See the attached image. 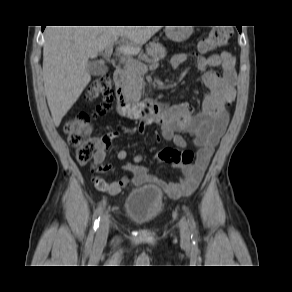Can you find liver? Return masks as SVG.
<instances>
[{"instance_id":"6515ba94","label":"liver","mask_w":292,"mask_h":292,"mask_svg":"<svg viewBox=\"0 0 292 292\" xmlns=\"http://www.w3.org/2000/svg\"><path fill=\"white\" fill-rule=\"evenodd\" d=\"M160 26H47L44 31L43 80L55 126L78 100L91 80L93 59L121 37L117 51L137 55Z\"/></svg>"}]
</instances>
